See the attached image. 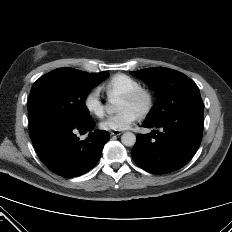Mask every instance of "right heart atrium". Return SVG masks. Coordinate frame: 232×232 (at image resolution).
<instances>
[{"label":"right heart atrium","instance_id":"obj_1","mask_svg":"<svg viewBox=\"0 0 232 232\" xmlns=\"http://www.w3.org/2000/svg\"><path fill=\"white\" fill-rule=\"evenodd\" d=\"M85 109L95 117H102L105 112L104 103L97 89L90 90L84 97Z\"/></svg>","mask_w":232,"mask_h":232}]
</instances>
